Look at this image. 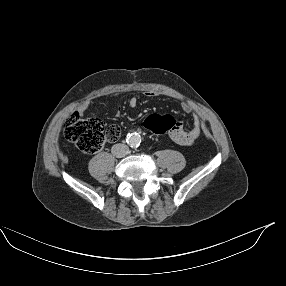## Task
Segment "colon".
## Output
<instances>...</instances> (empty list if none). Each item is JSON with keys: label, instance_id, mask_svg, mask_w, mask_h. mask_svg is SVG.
I'll return each instance as SVG.
<instances>
[{"label": "colon", "instance_id": "colon-1", "mask_svg": "<svg viewBox=\"0 0 286 286\" xmlns=\"http://www.w3.org/2000/svg\"><path fill=\"white\" fill-rule=\"evenodd\" d=\"M178 121L169 113L151 112L142 120L143 129L153 136H167L178 126ZM65 137L73 142L85 154H94L100 151L107 142H115L121 136L118 125H105L96 117L82 118L73 113L66 121Z\"/></svg>", "mask_w": 286, "mask_h": 286}]
</instances>
